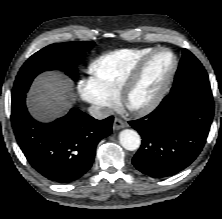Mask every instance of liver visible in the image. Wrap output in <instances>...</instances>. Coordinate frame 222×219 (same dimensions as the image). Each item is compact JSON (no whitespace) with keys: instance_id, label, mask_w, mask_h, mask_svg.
<instances>
[{"instance_id":"6515ba94","label":"liver","mask_w":222,"mask_h":219,"mask_svg":"<svg viewBox=\"0 0 222 219\" xmlns=\"http://www.w3.org/2000/svg\"><path fill=\"white\" fill-rule=\"evenodd\" d=\"M75 101L72 83L58 72L39 75L28 95L29 110L39 120L64 115Z\"/></svg>"}]
</instances>
